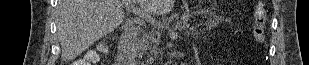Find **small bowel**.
I'll return each instance as SVG.
<instances>
[{"label":"small bowel","instance_id":"obj_1","mask_svg":"<svg viewBox=\"0 0 309 65\" xmlns=\"http://www.w3.org/2000/svg\"><path fill=\"white\" fill-rule=\"evenodd\" d=\"M96 60H98L97 55H95V58H94V59H88V60H86V61H84V62H82V63H83V64H85V63H91V62H95Z\"/></svg>","mask_w":309,"mask_h":65}]
</instances>
